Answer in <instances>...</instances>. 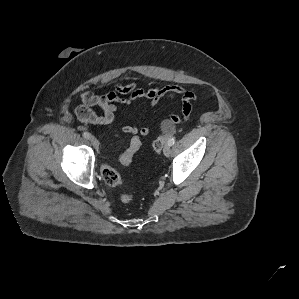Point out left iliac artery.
Segmentation results:
<instances>
[{
  "instance_id": "44dca946",
  "label": "left iliac artery",
  "mask_w": 299,
  "mask_h": 299,
  "mask_svg": "<svg viewBox=\"0 0 299 299\" xmlns=\"http://www.w3.org/2000/svg\"><path fill=\"white\" fill-rule=\"evenodd\" d=\"M175 137H172V138H170L169 140H168V144L170 145V146H172L174 143H175Z\"/></svg>"
}]
</instances>
